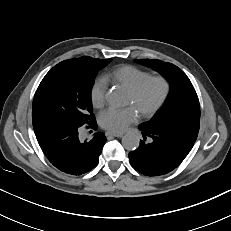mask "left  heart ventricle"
Returning <instances> with one entry per match:
<instances>
[{"mask_svg":"<svg viewBox=\"0 0 231 231\" xmlns=\"http://www.w3.org/2000/svg\"><path fill=\"white\" fill-rule=\"evenodd\" d=\"M163 90L164 87L160 81H151L137 97H133L128 93L126 105L133 106L140 114L151 108L160 99Z\"/></svg>","mask_w":231,"mask_h":231,"instance_id":"b2bd125f","label":"left heart ventricle"}]
</instances>
